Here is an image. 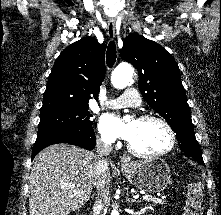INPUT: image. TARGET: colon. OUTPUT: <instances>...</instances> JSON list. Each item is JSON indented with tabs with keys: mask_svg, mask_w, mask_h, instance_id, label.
I'll list each match as a JSON object with an SVG mask.
<instances>
[{
	"mask_svg": "<svg viewBox=\"0 0 221 215\" xmlns=\"http://www.w3.org/2000/svg\"><path fill=\"white\" fill-rule=\"evenodd\" d=\"M203 193L201 186L197 182L188 185L187 201L183 215H202Z\"/></svg>",
	"mask_w": 221,
	"mask_h": 215,
	"instance_id": "1",
	"label": "colon"
}]
</instances>
